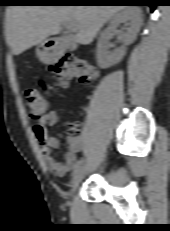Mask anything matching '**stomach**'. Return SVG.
Returning a JSON list of instances; mask_svg holds the SVG:
<instances>
[{
	"mask_svg": "<svg viewBox=\"0 0 170 231\" xmlns=\"http://www.w3.org/2000/svg\"><path fill=\"white\" fill-rule=\"evenodd\" d=\"M37 56L44 62H49L51 60L49 50L45 49L44 45L37 51Z\"/></svg>",
	"mask_w": 170,
	"mask_h": 231,
	"instance_id": "stomach-1",
	"label": "stomach"
}]
</instances>
